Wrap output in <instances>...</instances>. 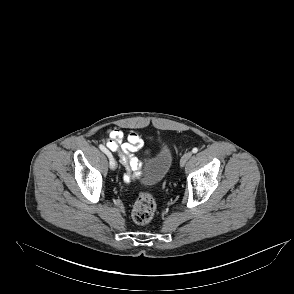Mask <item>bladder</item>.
Wrapping results in <instances>:
<instances>
[{"label": "bladder", "instance_id": "obj_1", "mask_svg": "<svg viewBox=\"0 0 294 294\" xmlns=\"http://www.w3.org/2000/svg\"><path fill=\"white\" fill-rule=\"evenodd\" d=\"M173 161L171 148L167 144L159 147L151 158L143 176V183L154 185L161 182L169 172Z\"/></svg>", "mask_w": 294, "mask_h": 294}]
</instances>
